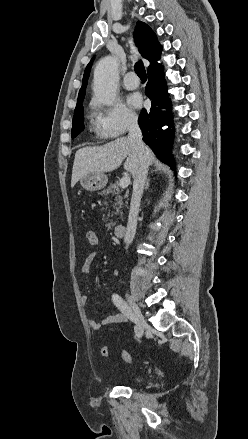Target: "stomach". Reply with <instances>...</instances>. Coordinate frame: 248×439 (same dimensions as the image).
Masks as SVG:
<instances>
[{
    "mask_svg": "<svg viewBox=\"0 0 248 439\" xmlns=\"http://www.w3.org/2000/svg\"><path fill=\"white\" fill-rule=\"evenodd\" d=\"M108 182L105 173L92 172L80 179L81 186L87 191H97L103 189Z\"/></svg>",
    "mask_w": 248,
    "mask_h": 439,
    "instance_id": "0dacf381",
    "label": "stomach"
}]
</instances>
